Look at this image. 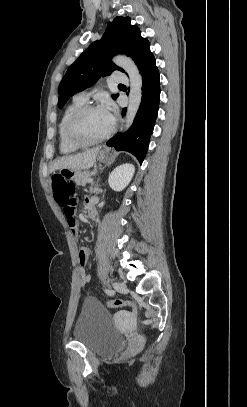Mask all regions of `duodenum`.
Listing matches in <instances>:
<instances>
[{"label": "duodenum", "instance_id": "duodenum-1", "mask_svg": "<svg viewBox=\"0 0 247 407\" xmlns=\"http://www.w3.org/2000/svg\"><path fill=\"white\" fill-rule=\"evenodd\" d=\"M87 216L90 218V219H94L95 218V216H96V209H95V206H94V204H93V202L92 201H89L88 203H87Z\"/></svg>", "mask_w": 247, "mask_h": 407}]
</instances>
